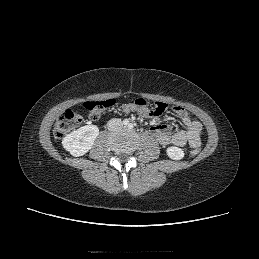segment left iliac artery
Returning <instances> with one entry per match:
<instances>
[{"label":"left iliac artery","mask_w":259,"mask_h":259,"mask_svg":"<svg viewBox=\"0 0 259 259\" xmlns=\"http://www.w3.org/2000/svg\"><path fill=\"white\" fill-rule=\"evenodd\" d=\"M128 127H129V129H133L134 126H133V124L131 123V124L128 125Z\"/></svg>","instance_id":"1"}]
</instances>
